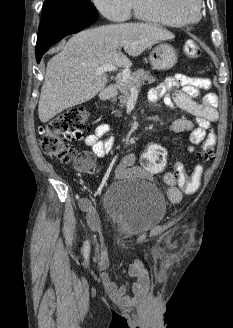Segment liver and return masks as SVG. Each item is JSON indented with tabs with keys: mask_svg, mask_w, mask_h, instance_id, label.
Masks as SVG:
<instances>
[{
	"mask_svg": "<svg viewBox=\"0 0 233 328\" xmlns=\"http://www.w3.org/2000/svg\"><path fill=\"white\" fill-rule=\"evenodd\" d=\"M173 38L170 31L147 23L103 25L73 35L47 64L39 119L45 123L98 94L107 84V75L96 74L97 68L108 63L129 68L132 63L118 51L121 46L128 55L137 57L148 47Z\"/></svg>",
	"mask_w": 233,
	"mask_h": 328,
	"instance_id": "1",
	"label": "liver"
}]
</instances>
